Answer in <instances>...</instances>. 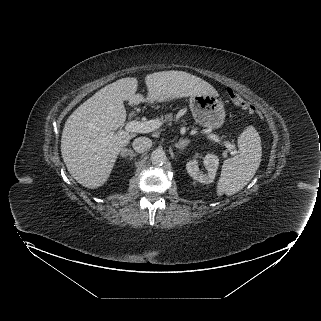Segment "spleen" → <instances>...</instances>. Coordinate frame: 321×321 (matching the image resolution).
Segmentation results:
<instances>
[{
  "mask_svg": "<svg viewBox=\"0 0 321 321\" xmlns=\"http://www.w3.org/2000/svg\"><path fill=\"white\" fill-rule=\"evenodd\" d=\"M238 154L224 161L217 184V195H233L242 190L255 175L262 156L261 139L253 126L238 137Z\"/></svg>",
  "mask_w": 321,
  "mask_h": 321,
  "instance_id": "1",
  "label": "spleen"
}]
</instances>
